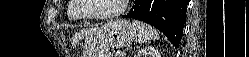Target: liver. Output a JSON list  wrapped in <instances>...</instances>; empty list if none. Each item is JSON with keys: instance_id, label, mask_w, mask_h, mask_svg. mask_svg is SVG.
<instances>
[{"instance_id": "1", "label": "liver", "mask_w": 249, "mask_h": 57, "mask_svg": "<svg viewBox=\"0 0 249 57\" xmlns=\"http://www.w3.org/2000/svg\"><path fill=\"white\" fill-rule=\"evenodd\" d=\"M95 31H96V28L82 30L81 33H80V36H87V35H90V34L94 33Z\"/></svg>"}]
</instances>
